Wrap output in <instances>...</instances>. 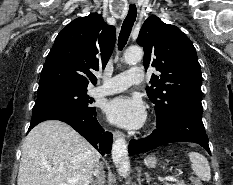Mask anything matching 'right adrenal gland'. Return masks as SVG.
Listing matches in <instances>:
<instances>
[{
    "mask_svg": "<svg viewBox=\"0 0 233 185\" xmlns=\"http://www.w3.org/2000/svg\"><path fill=\"white\" fill-rule=\"evenodd\" d=\"M105 175L104 172H101L99 176H96V180L91 181V185H104Z\"/></svg>",
    "mask_w": 233,
    "mask_h": 185,
    "instance_id": "2a0ac1e0",
    "label": "right adrenal gland"
}]
</instances>
